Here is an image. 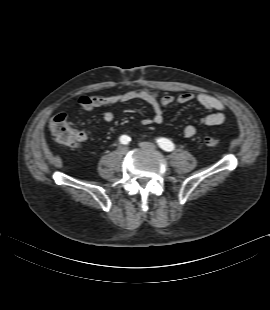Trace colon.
Wrapping results in <instances>:
<instances>
[{"instance_id":"obj_1","label":"colon","mask_w":270,"mask_h":310,"mask_svg":"<svg viewBox=\"0 0 270 310\" xmlns=\"http://www.w3.org/2000/svg\"><path fill=\"white\" fill-rule=\"evenodd\" d=\"M49 129L57 142L72 147L79 145V133L70 126L67 114H56L49 122ZM203 144L206 147L214 148L219 144V139L216 136L208 135L203 138Z\"/></svg>"}]
</instances>
